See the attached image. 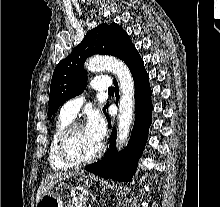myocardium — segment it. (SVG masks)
<instances>
[{"mask_svg":"<svg viewBox=\"0 0 220 207\" xmlns=\"http://www.w3.org/2000/svg\"><path fill=\"white\" fill-rule=\"evenodd\" d=\"M80 127H83L80 123H76V122L70 123L62 131L58 139L57 146H58L59 156L65 163L69 164L70 166H84V165L93 163L94 161L99 159L104 152V146L100 144L96 153L87 159L80 160L72 156L69 150V141H70L72 133L77 128H80Z\"/></svg>","mask_w":220,"mask_h":207,"instance_id":"myocardium-1","label":"myocardium"}]
</instances>
